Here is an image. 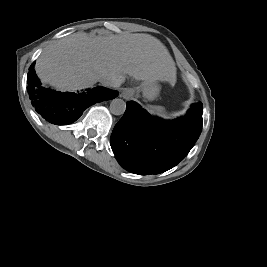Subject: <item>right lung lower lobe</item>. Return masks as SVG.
I'll return each mask as SVG.
<instances>
[{
    "instance_id": "right-lung-lower-lobe-1",
    "label": "right lung lower lobe",
    "mask_w": 267,
    "mask_h": 267,
    "mask_svg": "<svg viewBox=\"0 0 267 267\" xmlns=\"http://www.w3.org/2000/svg\"><path fill=\"white\" fill-rule=\"evenodd\" d=\"M27 83L29 99L36 112L46 121L56 125L73 123L89 106L118 96L116 91L104 87H95L79 93L46 89L35 72L28 73Z\"/></svg>"
}]
</instances>
